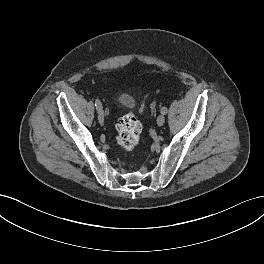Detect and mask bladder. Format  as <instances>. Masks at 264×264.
Returning <instances> with one entry per match:
<instances>
[{
	"instance_id": "obj_1",
	"label": "bladder",
	"mask_w": 264,
	"mask_h": 264,
	"mask_svg": "<svg viewBox=\"0 0 264 264\" xmlns=\"http://www.w3.org/2000/svg\"><path fill=\"white\" fill-rule=\"evenodd\" d=\"M117 104L122 108H129L135 104V100L129 93L121 92L117 96Z\"/></svg>"
}]
</instances>
